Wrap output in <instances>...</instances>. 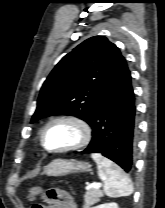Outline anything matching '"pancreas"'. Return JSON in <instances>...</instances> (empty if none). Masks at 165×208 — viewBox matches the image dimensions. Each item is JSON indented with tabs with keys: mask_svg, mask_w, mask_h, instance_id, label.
I'll return each instance as SVG.
<instances>
[{
	"mask_svg": "<svg viewBox=\"0 0 165 208\" xmlns=\"http://www.w3.org/2000/svg\"><path fill=\"white\" fill-rule=\"evenodd\" d=\"M102 192L99 189L92 188L84 195V206L83 208H90L93 204L100 201Z\"/></svg>",
	"mask_w": 165,
	"mask_h": 208,
	"instance_id": "obj_1",
	"label": "pancreas"
}]
</instances>
